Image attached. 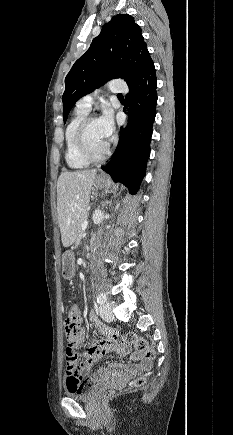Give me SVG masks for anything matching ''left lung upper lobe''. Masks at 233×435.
Here are the masks:
<instances>
[{
	"label": "left lung upper lobe",
	"instance_id": "left-lung-upper-lobe-1",
	"mask_svg": "<svg viewBox=\"0 0 233 435\" xmlns=\"http://www.w3.org/2000/svg\"><path fill=\"white\" fill-rule=\"evenodd\" d=\"M152 63L141 28L134 18L128 14L114 16L65 78L64 123L82 96L114 78L125 79L131 85Z\"/></svg>",
	"mask_w": 233,
	"mask_h": 435
}]
</instances>
